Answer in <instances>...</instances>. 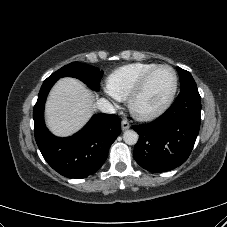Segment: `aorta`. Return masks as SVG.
<instances>
[{
	"instance_id": "obj_1",
	"label": "aorta",
	"mask_w": 227,
	"mask_h": 227,
	"mask_svg": "<svg viewBox=\"0 0 227 227\" xmlns=\"http://www.w3.org/2000/svg\"><path fill=\"white\" fill-rule=\"evenodd\" d=\"M123 140L128 145H134L138 141V134L133 130H126L123 134Z\"/></svg>"
}]
</instances>
